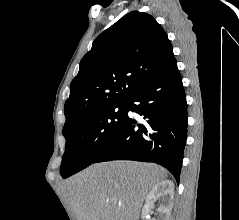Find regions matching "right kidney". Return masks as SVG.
<instances>
[{
  "mask_svg": "<svg viewBox=\"0 0 239 220\" xmlns=\"http://www.w3.org/2000/svg\"><path fill=\"white\" fill-rule=\"evenodd\" d=\"M174 198V184L170 180H163L156 184L146 196V204L142 209V218L145 220L154 202L160 199L162 204L156 209L157 217L152 220H170Z\"/></svg>",
  "mask_w": 239,
  "mask_h": 220,
  "instance_id": "1",
  "label": "right kidney"
}]
</instances>
